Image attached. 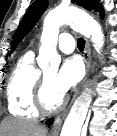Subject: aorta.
<instances>
[{
  "instance_id": "obj_1",
  "label": "aorta",
  "mask_w": 117,
  "mask_h": 136,
  "mask_svg": "<svg viewBox=\"0 0 117 136\" xmlns=\"http://www.w3.org/2000/svg\"><path fill=\"white\" fill-rule=\"evenodd\" d=\"M64 24H70L84 36L91 37V41L98 53L103 47L104 34L97 21L78 9L58 7L50 11L44 19L38 57V65L43 70L49 67L55 70L58 69L60 56L57 54L56 45L59 27ZM90 102V91L83 93L74 102L63 124L60 136H81Z\"/></svg>"
}]
</instances>
